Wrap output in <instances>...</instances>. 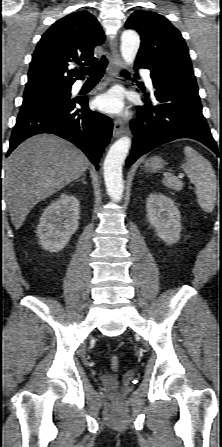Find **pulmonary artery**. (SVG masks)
<instances>
[{"label": "pulmonary artery", "instance_id": "obj_1", "mask_svg": "<svg viewBox=\"0 0 222 447\" xmlns=\"http://www.w3.org/2000/svg\"><path fill=\"white\" fill-rule=\"evenodd\" d=\"M142 73H143V75H144V78H145L146 83L148 84V86H149L150 88H152L153 84H152L151 77L149 76V73H148L147 71H142ZM80 85H81V82H77L75 86H76V87H79Z\"/></svg>", "mask_w": 222, "mask_h": 447}]
</instances>
